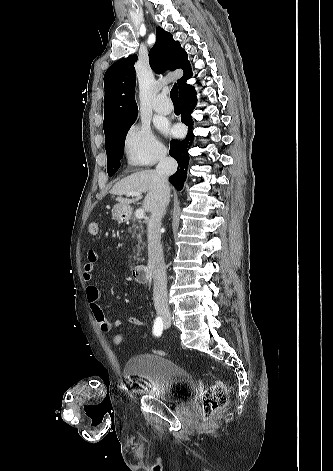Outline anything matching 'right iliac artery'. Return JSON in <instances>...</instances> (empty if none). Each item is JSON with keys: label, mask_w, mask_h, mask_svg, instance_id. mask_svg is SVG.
<instances>
[{"label": "right iliac artery", "mask_w": 333, "mask_h": 471, "mask_svg": "<svg viewBox=\"0 0 333 471\" xmlns=\"http://www.w3.org/2000/svg\"><path fill=\"white\" fill-rule=\"evenodd\" d=\"M163 331V321L161 317H157L154 326H153V334L157 337L161 336Z\"/></svg>", "instance_id": "82829eb1"}]
</instances>
